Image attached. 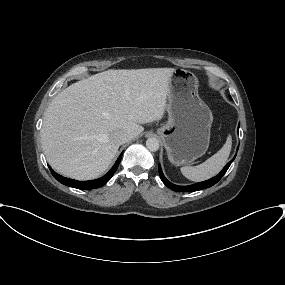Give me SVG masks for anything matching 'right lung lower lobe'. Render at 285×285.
I'll return each instance as SVG.
<instances>
[{
	"label": "right lung lower lobe",
	"instance_id": "98d812e1",
	"mask_svg": "<svg viewBox=\"0 0 285 285\" xmlns=\"http://www.w3.org/2000/svg\"><path fill=\"white\" fill-rule=\"evenodd\" d=\"M122 158V154L118 157L116 163L114 164V166L110 169V171L104 175L103 177L96 179V180H91V181H77V180H73V179H69V178H65L59 174H57L56 172H54L51 167V173L54 176V178L56 180H58L60 183L66 185V186H70L73 188H77V189H81V190H90V189H94V188H99L103 185H105L113 176V174L115 173V171L117 170L119 163L121 161Z\"/></svg>",
	"mask_w": 285,
	"mask_h": 285
}]
</instances>
